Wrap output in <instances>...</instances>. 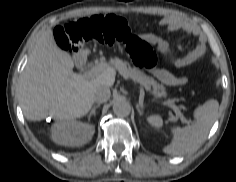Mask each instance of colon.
Returning <instances> with one entry per match:
<instances>
[{"mask_svg": "<svg viewBox=\"0 0 236 182\" xmlns=\"http://www.w3.org/2000/svg\"><path fill=\"white\" fill-rule=\"evenodd\" d=\"M58 45L67 51L77 52L89 41L112 45L121 43L140 67L155 63L149 45L134 35L122 18L113 15H95L63 22L55 29Z\"/></svg>", "mask_w": 236, "mask_h": 182, "instance_id": "1", "label": "colon"}]
</instances>
